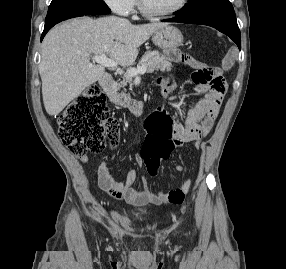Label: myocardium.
<instances>
[{
	"label": "myocardium",
	"instance_id": "myocardium-1",
	"mask_svg": "<svg viewBox=\"0 0 286 269\" xmlns=\"http://www.w3.org/2000/svg\"><path fill=\"white\" fill-rule=\"evenodd\" d=\"M136 1L138 9L141 12V14L150 19H161L174 15L178 13L180 10H182L188 2V0H180L179 3L170 10L164 12H152L146 8L143 0H136Z\"/></svg>",
	"mask_w": 286,
	"mask_h": 269
}]
</instances>
